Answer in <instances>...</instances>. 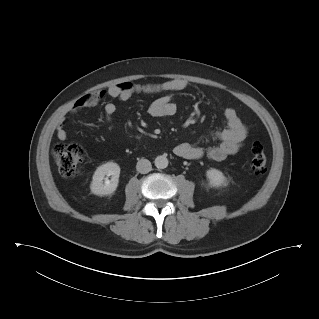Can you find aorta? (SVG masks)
<instances>
[{
  "instance_id": "1",
  "label": "aorta",
  "mask_w": 319,
  "mask_h": 319,
  "mask_svg": "<svg viewBox=\"0 0 319 319\" xmlns=\"http://www.w3.org/2000/svg\"><path fill=\"white\" fill-rule=\"evenodd\" d=\"M154 164L158 169H164L168 166V159L163 155L157 156L155 158Z\"/></svg>"
}]
</instances>
